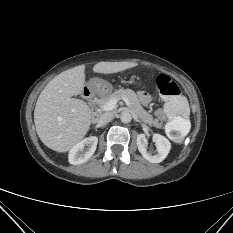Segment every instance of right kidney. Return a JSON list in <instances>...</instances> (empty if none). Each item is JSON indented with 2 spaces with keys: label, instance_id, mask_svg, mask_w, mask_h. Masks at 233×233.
<instances>
[{
  "label": "right kidney",
  "instance_id": "1",
  "mask_svg": "<svg viewBox=\"0 0 233 233\" xmlns=\"http://www.w3.org/2000/svg\"><path fill=\"white\" fill-rule=\"evenodd\" d=\"M98 143L96 136L87 137L75 144L69 151V163L78 165L86 162L95 152Z\"/></svg>",
  "mask_w": 233,
  "mask_h": 233
}]
</instances>
